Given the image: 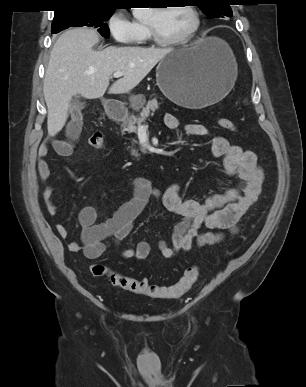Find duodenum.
<instances>
[{"label":"duodenum","mask_w":306,"mask_h":387,"mask_svg":"<svg viewBox=\"0 0 306 387\" xmlns=\"http://www.w3.org/2000/svg\"><path fill=\"white\" fill-rule=\"evenodd\" d=\"M106 110L108 116L114 121H121L125 116V109L113 103L108 104Z\"/></svg>","instance_id":"duodenum-1"}]
</instances>
